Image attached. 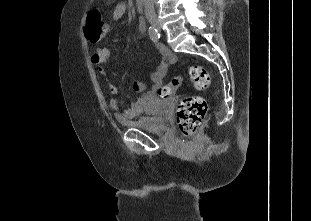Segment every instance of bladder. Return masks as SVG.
I'll list each match as a JSON object with an SVG mask.
<instances>
[{"mask_svg":"<svg viewBox=\"0 0 311 221\" xmlns=\"http://www.w3.org/2000/svg\"><path fill=\"white\" fill-rule=\"evenodd\" d=\"M170 109L171 103L168 101V97H166L155 104L154 108H147L146 113L131 120L129 124L145 133H163L170 124Z\"/></svg>","mask_w":311,"mask_h":221,"instance_id":"1","label":"bladder"}]
</instances>
